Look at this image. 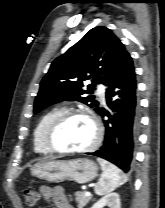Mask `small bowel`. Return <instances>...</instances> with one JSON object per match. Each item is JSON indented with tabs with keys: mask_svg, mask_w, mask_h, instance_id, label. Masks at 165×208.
Segmentation results:
<instances>
[{
	"mask_svg": "<svg viewBox=\"0 0 165 208\" xmlns=\"http://www.w3.org/2000/svg\"><path fill=\"white\" fill-rule=\"evenodd\" d=\"M41 196L45 200H51L57 208H74L68 201L64 190L61 186L49 187L41 186L40 187Z\"/></svg>",
	"mask_w": 165,
	"mask_h": 208,
	"instance_id": "obj_1",
	"label": "small bowel"
}]
</instances>
